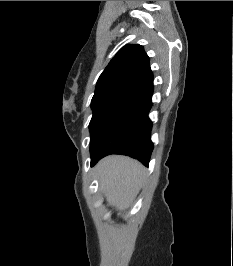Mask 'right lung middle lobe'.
<instances>
[{
  "label": "right lung middle lobe",
  "instance_id": "obj_1",
  "mask_svg": "<svg viewBox=\"0 0 233 266\" xmlns=\"http://www.w3.org/2000/svg\"><path fill=\"white\" fill-rule=\"evenodd\" d=\"M148 95L144 92H125L92 99L90 152L97 151Z\"/></svg>",
  "mask_w": 233,
  "mask_h": 266
}]
</instances>
